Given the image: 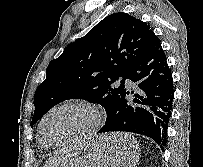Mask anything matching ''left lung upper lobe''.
Returning <instances> with one entry per match:
<instances>
[{
	"label": "left lung upper lobe",
	"mask_w": 203,
	"mask_h": 167,
	"mask_svg": "<svg viewBox=\"0 0 203 167\" xmlns=\"http://www.w3.org/2000/svg\"><path fill=\"white\" fill-rule=\"evenodd\" d=\"M157 39L145 22L129 14L104 18L49 63L34 95L31 127L54 105L73 98L100 104L108 119L126 90L130 69Z\"/></svg>",
	"instance_id": "5c2ea615"
}]
</instances>
